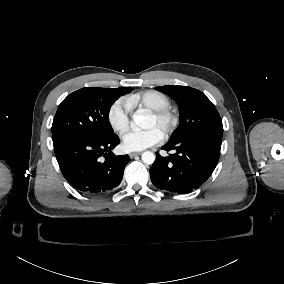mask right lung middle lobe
<instances>
[{"mask_svg":"<svg viewBox=\"0 0 284 284\" xmlns=\"http://www.w3.org/2000/svg\"><path fill=\"white\" fill-rule=\"evenodd\" d=\"M132 88L86 87L68 95L59 105L52 124L53 145L75 137H106L113 134L109 123L111 105Z\"/></svg>","mask_w":284,"mask_h":284,"instance_id":"dd1d6c3e","label":"right lung middle lobe"}]
</instances>
